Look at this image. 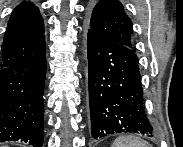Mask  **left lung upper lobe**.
I'll return each instance as SVG.
<instances>
[{
    "label": "left lung upper lobe",
    "mask_w": 183,
    "mask_h": 147,
    "mask_svg": "<svg viewBox=\"0 0 183 147\" xmlns=\"http://www.w3.org/2000/svg\"><path fill=\"white\" fill-rule=\"evenodd\" d=\"M88 32H94L133 48L132 22L118 0H100L86 20Z\"/></svg>",
    "instance_id": "1"
}]
</instances>
